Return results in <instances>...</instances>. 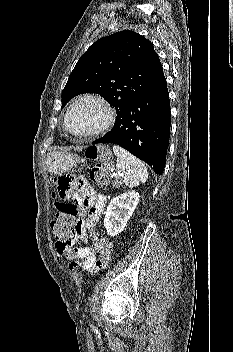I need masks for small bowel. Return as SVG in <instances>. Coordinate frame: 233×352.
I'll return each mask as SVG.
<instances>
[{
	"label": "small bowel",
	"instance_id": "small-bowel-1",
	"mask_svg": "<svg viewBox=\"0 0 233 352\" xmlns=\"http://www.w3.org/2000/svg\"><path fill=\"white\" fill-rule=\"evenodd\" d=\"M54 205L59 210L65 200L72 199L80 207V216L69 235L68 243H56V251L70 261V268L77 266V260H82L84 268H90L94 262V252L90 247H74L82 240L87 242V231L95 229L105 207L106 198L97 193L90 184L82 178L63 175L55 181L53 193ZM86 214V215H85Z\"/></svg>",
	"mask_w": 233,
	"mask_h": 352
}]
</instances>
